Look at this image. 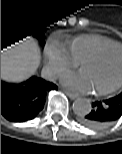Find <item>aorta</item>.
Wrapping results in <instances>:
<instances>
[{
	"instance_id": "1",
	"label": "aorta",
	"mask_w": 122,
	"mask_h": 154,
	"mask_svg": "<svg viewBox=\"0 0 122 154\" xmlns=\"http://www.w3.org/2000/svg\"><path fill=\"white\" fill-rule=\"evenodd\" d=\"M72 108L76 115L84 116V115H87L91 111L92 106H91L90 100L86 98H77L73 102Z\"/></svg>"
}]
</instances>
